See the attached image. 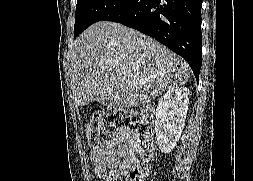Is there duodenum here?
<instances>
[{
  "label": "duodenum",
  "mask_w": 253,
  "mask_h": 181,
  "mask_svg": "<svg viewBox=\"0 0 253 181\" xmlns=\"http://www.w3.org/2000/svg\"><path fill=\"white\" fill-rule=\"evenodd\" d=\"M143 111H144L145 113H147V114L151 113V109H150L148 106H145V107L143 108Z\"/></svg>",
  "instance_id": "obj_1"
}]
</instances>
